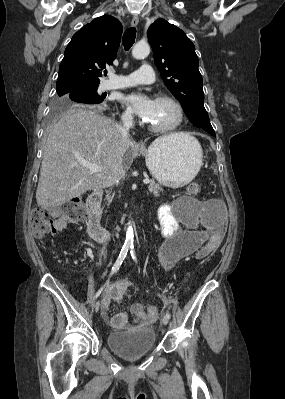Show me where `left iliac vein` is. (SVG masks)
<instances>
[{"mask_svg":"<svg viewBox=\"0 0 285 399\" xmlns=\"http://www.w3.org/2000/svg\"><path fill=\"white\" fill-rule=\"evenodd\" d=\"M161 323L163 325H167L169 323V319L166 316H163L162 319H161Z\"/></svg>","mask_w":285,"mask_h":399,"instance_id":"4c4485c4","label":"left iliac vein"}]
</instances>
